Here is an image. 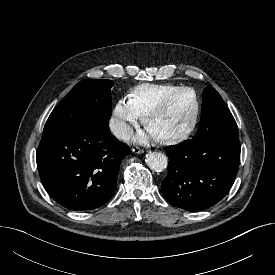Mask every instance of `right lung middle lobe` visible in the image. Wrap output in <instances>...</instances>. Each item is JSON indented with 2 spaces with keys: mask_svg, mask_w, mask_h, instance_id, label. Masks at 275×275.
Wrapping results in <instances>:
<instances>
[{
  "mask_svg": "<svg viewBox=\"0 0 275 275\" xmlns=\"http://www.w3.org/2000/svg\"><path fill=\"white\" fill-rule=\"evenodd\" d=\"M111 80L86 79L76 84L50 114L43 133L79 130L111 117Z\"/></svg>",
  "mask_w": 275,
  "mask_h": 275,
  "instance_id": "right-lung-middle-lobe-1",
  "label": "right lung middle lobe"
}]
</instances>
